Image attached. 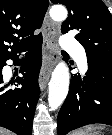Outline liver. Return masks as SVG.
Masks as SVG:
<instances>
[{
  "label": "liver",
  "mask_w": 112,
  "mask_h": 135,
  "mask_svg": "<svg viewBox=\"0 0 112 135\" xmlns=\"http://www.w3.org/2000/svg\"><path fill=\"white\" fill-rule=\"evenodd\" d=\"M0 135H13V134L9 132L8 130H5L0 127Z\"/></svg>",
  "instance_id": "1"
}]
</instances>
